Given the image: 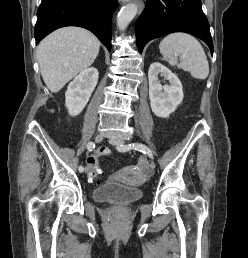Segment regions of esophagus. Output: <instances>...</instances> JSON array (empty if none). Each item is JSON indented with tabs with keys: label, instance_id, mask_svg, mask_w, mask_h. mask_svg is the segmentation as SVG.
<instances>
[{
	"label": "esophagus",
	"instance_id": "1",
	"mask_svg": "<svg viewBox=\"0 0 248 258\" xmlns=\"http://www.w3.org/2000/svg\"><path fill=\"white\" fill-rule=\"evenodd\" d=\"M123 1H129V0H123ZM137 5L139 8V12H141L144 9V3L141 0H137Z\"/></svg>",
	"mask_w": 248,
	"mask_h": 258
}]
</instances>
